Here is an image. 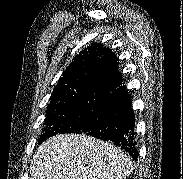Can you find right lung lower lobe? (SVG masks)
Instances as JSON below:
<instances>
[{
    "instance_id": "right-lung-lower-lobe-1",
    "label": "right lung lower lobe",
    "mask_w": 183,
    "mask_h": 179,
    "mask_svg": "<svg viewBox=\"0 0 183 179\" xmlns=\"http://www.w3.org/2000/svg\"><path fill=\"white\" fill-rule=\"evenodd\" d=\"M105 100L98 117L76 133L108 141L136 160L138 151L131 95L125 86L118 85L105 96Z\"/></svg>"
}]
</instances>
